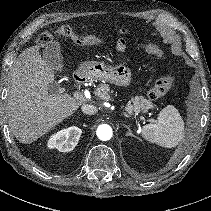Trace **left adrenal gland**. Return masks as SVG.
I'll return each instance as SVG.
<instances>
[{
  "label": "left adrenal gland",
  "mask_w": 211,
  "mask_h": 211,
  "mask_svg": "<svg viewBox=\"0 0 211 211\" xmlns=\"http://www.w3.org/2000/svg\"><path fill=\"white\" fill-rule=\"evenodd\" d=\"M124 127L127 128V130H128V132L126 133V136H131V137L137 138V136L132 133L131 129L127 125L124 124Z\"/></svg>",
  "instance_id": "1"
}]
</instances>
